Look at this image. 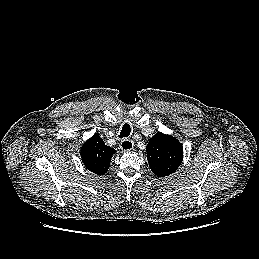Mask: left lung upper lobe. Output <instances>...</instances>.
Returning a JSON list of instances; mask_svg holds the SVG:
<instances>
[{
  "mask_svg": "<svg viewBox=\"0 0 259 259\" xmlns=\"http://www.w3.org/2000/svg\"><path fill=\"white\" fill-rule=\"evenodd\" d=\"M147 159L151 171L158 177L174 173L183 160V148L174 137L156 133L146 147Z\"/></svg>",
  "mask_w": 259,
  "mask_h": 259,
  "instance_id": "left-lung-upper-lobe-1",
  "label": "left lung upper lobe"
}]
</instances>
